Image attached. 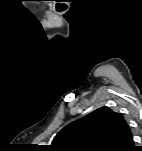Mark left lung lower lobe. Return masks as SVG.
<instances>
[{
    "instance_id": "obj_1",
    "label": "left lung lower lobe",
    "mask_w": 142,
    "mask_h": 151,
    "mask_svg": "<svg viewBox=\"0 0 142 151\" xmlns=\"http://www.w3.org/2000/svg\"><path fill=\"white\" fill-rule=\"evenodd\" d=\"M133 145H134V144H132V145L128 148V151H136L137 148H135Z\"/></svg>"
}]
</instances>
